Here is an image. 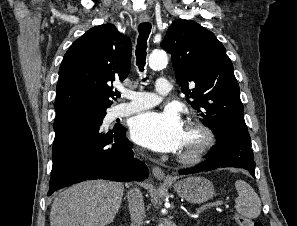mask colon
<instances>
[{"label":"colon","instance_id":"obj_1","mask_svg":"<svg viewBox=\"0 0 297 226\" xmlns=\"http://www.w3.org/2000/svg\"><path fill=\"white\" fill-rule=\"evenodd\" d=\"M235 221L237 222L238 226H263L262 223L241 215H236Z\"/></svg>","mask_w":297,"mask_h":226}]
</instances>
